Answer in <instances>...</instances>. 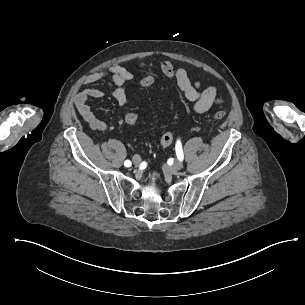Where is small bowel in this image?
<instances>
[{
	"mask_svg": "<svg viewBox=\"0 0 305 305\" xmlns=\"http://www.w3.org/2000/svg\"><path fill=\"white\" fill-rule=\"evenodd\" d=\"M136 67L144 68L149 66L143 62L135 63ZM166 67H174L170 60H164L161 65V71ZM180 72L179 88L185 94L188 101L192 103V109L197 114L208 111L212 106L222 103V99L217 95L214 87L206 89L201 88L199 81L191 82L185 68H176ZM105 78H110L115 83L113 96L118 104L125 105L128 102V94L126 92V83L133 79V73L120 65H111L100 72L91 74L87 77L88 83H95ZM104 95L103 91L97 88H89L79 93L74 100L78 113L87 122L89 127L96 131H105L108 125L100 119L93 111L88 101L92 98H100Z\"/></svg>",
	"mask_w": 305,
	"mask_h": 305,
	"instance_id": "1",
	"label": "small bowel"
}]
</instances>
